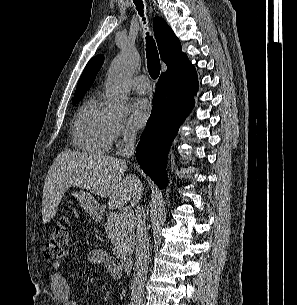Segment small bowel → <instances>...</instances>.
I'll return each instance as SVG.
<instances>
[{
  "label": "small bowel",
  "instance_id": "small-bowel-1",
  "mask_svg": "<svg viewBox=\"0 0 297 305\" xmlns=\"http://www.w3.org/2000/svg\"><path fill=\"white\" fill-rule=\"evenodd\" d=\"M88 260L94 265H104L114 279H119L122 275L119 263L106 251L93 250L89 253ZM52 265L55 269L50 281L53 294L63 305H78L71 295V289L66 277L59 270L60 264L57 261H53Z\"/></svg>",
  "mask_w": 297,
  "mask_h": 305
}]
</instances>
